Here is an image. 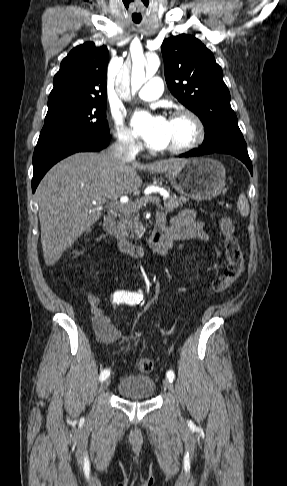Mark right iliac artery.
<instances>
[{
    "instance_id": "82829eb1",
    "label": "right iliac artery",
    "mask_w": 287,
    "mask_h": 486,
    "mask_svg": "<svg viewBox=\"0 0 287 486\" xmlns=\"http://www.w3.org/2000/svg\"><path fill=\"white\" fill-rule=\"evenodd\" d=\"M135 297H139V300L137 302H140L143 298V295L141 293H136V292H127L124 290L116 291L113 294V303L115 304H121V303H126L127 300L134 299ZM110 375V370L109 369H104L99 376V380L103 381L105 380L108 376Z\"/></svg>"
}]
</instances>
